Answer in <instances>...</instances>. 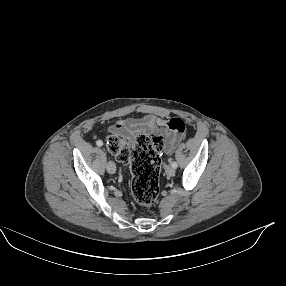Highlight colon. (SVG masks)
<instances>
[{"label": "colon", "instance_id": "5ec220e1", "mask_svg": "<svg viewBox=\"0 0 286 286\" xmlns=\"http://www.w3.org/2000/svg\"><path fill=\"white\" fill-rule=\"evenodd\" d=\"M177 125L184 132L185 125L181 120ZM162 146V137L159 134L151 139L140 135L134 142L117 135L107 138V150L117 160L131 166L133 172L131 193L134 200L144 207L154 205L158 197L160 172L158 152Z\"/></svg>", "mask_w": 286, "mask_h": 286}]
</instances>
